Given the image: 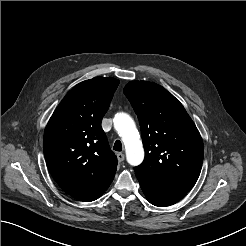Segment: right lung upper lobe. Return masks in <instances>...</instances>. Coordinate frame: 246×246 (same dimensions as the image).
<instances>
[{"mask_svg": "<svg viewBox=\"0 0 246 246\" xmlns=\"http://www.w3.org/2000/svg\"><path fill=\"white\" fill-rule=\"evenodd\" d=\"M119 81L95 77L74 86L51 116L43 139L47 167L67 194L98 195L111 184L117 158L101 121Z\"/></svg>", "mask_w": 246, "mask_h": 246, "instance_id": "cb5924a9", "label": "right lung upper lobe"}]
</instances>
